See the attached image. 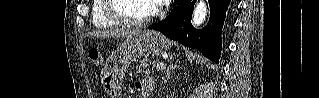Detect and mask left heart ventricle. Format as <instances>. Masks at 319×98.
Segmentation results:
<instances>
[{"label": "left heart ventricle", "instance_id": "1", "mask_svg": "<svg viewBox=\"0 0 319 98\" xmlns=\"http://www.w3.org/2000/svg\"><path fill=\"white\" fill-rule=\"evenodd\" d=\"M114 9L121 16L139 20L146 17L153 10L151 1L148 0H117Z\"/></svg>", "mask_w": 319, "mask_h": 98}]
</instances>
